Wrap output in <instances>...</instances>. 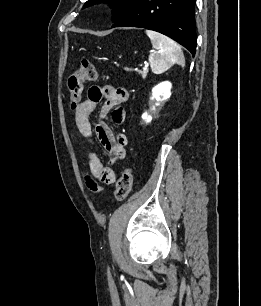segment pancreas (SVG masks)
<instances>
[{
  "label": "pancreas",
  "mask_w": 261,
  "mask_h": 306,
  "mask_svg": "<svg viewBox=\"0 0 261 306\" xmlns=\"http://www.w3.org/2000/svg\"><path fill=\"white\" fill-rule=\"evenodd\" d=\"M140 74L143 78L147 76V71H140Z\"/></svg>",
  "instance_id": "pancreas-1"
}]
</instances>
